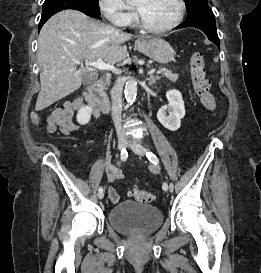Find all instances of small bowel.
<instances>
[{"label":"small bowel","instance_id":"small-bowel-1","mask_svg":"<svg viewBox=\"0 0 261 273\" xmlns=\"http://www.w3.org/2000/svg\"><path fill=\"white\" fill-rule=\"evenodd\" d=\"M83 106V101L78 98L72 102H66L62 107H58L52 111V113L46 118L47 130L51 133L57 131L59 128L62 133L69 135L81 128L80 125L73 122L72 117L74 110L79 109ZM92 106V105H91ZM95 115L97 112L95 111ZM152 173L157 172V168L151 167ZM122 174L120 171L114 170L111 174L112 179L121 178ZM108 197L113 204L119 202V196L113 188L108 189Z\"/></svg>","mask_w":261,"mask_h":273}]
</instances>
